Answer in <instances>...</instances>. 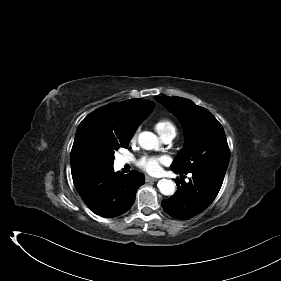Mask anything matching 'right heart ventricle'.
Returning a JSON list of instances; mask_svg holds the SVG:
<instances>
[{
    "mask_svg": "<svg viewBox=\"0 0 281 281\" xmlns=\"http://www.w3.org/2000/svg\"><path fill=\"white\" fill-rule=\"evenodd\" d=\"M155 129L159 133L161 137H164L168 134H174L176 133V127L175 125L168 119H159L155 123Z\"/></svg>",
    "mask_w": 281,
    "mask_h": 281,
    "instance_id": "obj_1",
    "label": "right heart ventricle"
}]
</instances>
